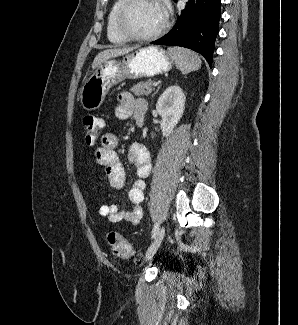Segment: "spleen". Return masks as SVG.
<instances>
[{
  "label": "spleen",
  "instance_id": "obj_1",
  "mask_svg": "<svg viewBox=\"0 0 298 325\" xmlns=\"http://www.w3.org/2000/svg\"><path fill=\"white\" fill-rule=\"evenodd\" d=\"M167 52L171 58L175 60V66L181 70L182 74L192 72V70H199L201 66V58L189 50V48H181V46H168Z\"/></svg>",
  "mask_w": 298,
  "mask_h": 325
}]
</instances>
